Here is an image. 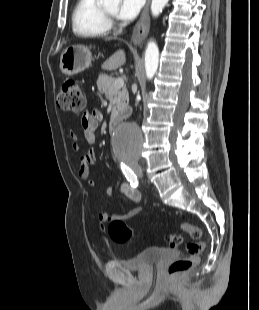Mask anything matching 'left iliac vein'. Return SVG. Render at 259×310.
Wrapping results in <instances>:
<instances>
[{"mask_svg": "<svg viewBox=\"0 0 259 310\" xmlns=\"http://www.w3.org/2000/svg\"><path fill=\"white\" fill-rule=\"evenodd\" d=\"M134 170H135V173L137 174V176L142 177L143 171H142L141 167H137Z\"/></svg>", "mask_w": 259, "mask_h": 310, "instance_id": "1", "label": "left iliac vein"}]
</instances>
